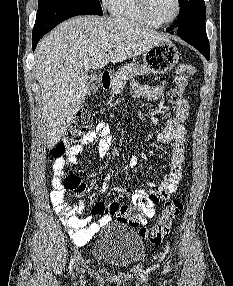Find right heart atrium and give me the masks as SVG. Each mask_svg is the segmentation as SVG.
<instances>
[{"mask_svg":"<svg viewBox=\"0 0 233 286\" xmlns=\"http://www.w3.org/2000/svg\"><path fill=\"white\" fill-rule=\"evenodd\" d=\"M102 1H103L104 4H106V1H107V0H102Z\"/></svg>","mask_w":233,"mask_h":286,"instance_id":"1","label":"right heart atrium"}]
</instances>
